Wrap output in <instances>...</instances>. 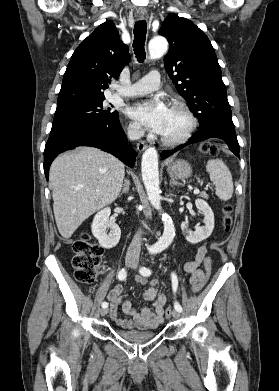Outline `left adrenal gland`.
I'll return each instance as SVG.
<instances>
[{
    "label": "left adrenal gland",
    "instance_id": "1",
    "mask_svg": "<svg viewBox=\"0 0 279 391\" xmlns=\"http://www.w3.org/2000/svg\"><path fill=\"white\" fill-rule=\"evenodd\" d=\"M170 186H180L181 184L179 182H177L172 176H171V180H170Z\"/></svg>",
    "mask_w": 279,
    "mask_h": 391
}]
</instances>
